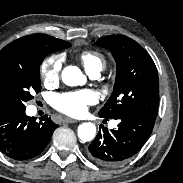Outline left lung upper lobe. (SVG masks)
Segmentation results:
<instances>
[{"label":"left lung upper lobe","instance_id":"obj_1","mask_svg":"<svg viewBox=\"0 0 183 183\" xmlns=\"http://www.w3.org/2000/svg\"><path fill=\"white\" fill-rule=\"evenodd\" d=\"M96 44L113 54L117 66L113 93L99 116L113 118L135 112L156 118L158 72L149 54L136 41L123 35L105 36Z\"/></svg>","mask_w":183,"mask_h":183}]
</instances>
